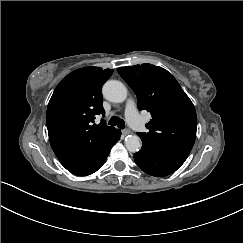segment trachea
I'll use <instances>...</instances> for the list:
<instances>
[{"instance_id":"3493384b","label":"trachea","mask_w":243,"mask_h":243,"mask_svg":"<svg viewBox=\"0 0 243 243\" xmlns=\"http://www.w3.org/2000/svg\"><path fill=\"white\" fill-rule=\"evenodd\" d=\"M109 125L115 126L117 125V127H119L120 129H124L125 128V121L121 118H119L118 116H112L108 122Z\"/></svg>"}]
</instances>
